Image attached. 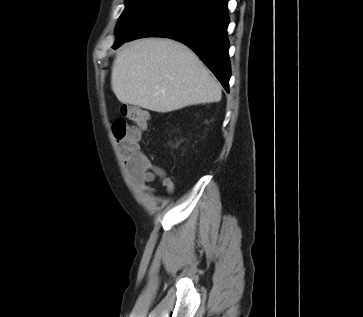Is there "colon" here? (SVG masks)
I'll use <instances>...</instances> for the list:
<instances>
[{"label":"colon","instance_id":"obj_1","mask_svg":"<svg viewBox=\"0 0 363 317\" xmlns=\"http://www.w3.org/2000/svg\"><path fill=\"white\" fill-rule=\"evenodd\" d=\"M129 122H132L131 125ZM149 122V114L136 106L123 105L121 117L112 124V132L126 158L127 166L138 168L144 165L146 157L139 151L141 133Z\"/></svg>","mask_w":363,"mask_h":317}]
</instances>
